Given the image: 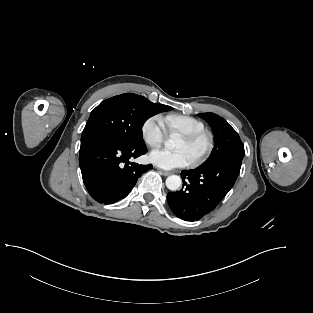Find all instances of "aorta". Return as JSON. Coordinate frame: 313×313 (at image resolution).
I'll return each mask as SVG.
<instances>
[{
  "label": "aorta",
  "instance_id": "obj_1",
  "mask_svg": "<svg viewBox=\"0 0 313 313\" xmlns=\"http://www.w3.org/2000/svg\"><path fill=\"white\" fill-rule=\"evenodd\" d=\"M176 142H177V138L174 135H172L165 143V146L169 149L174 148ZM181 184H182V180L180 176L178 175H171L167 177L166 179V186L171 191L179 190L181 187Z\"/></svg>",
  "mask_w": 313,
  "mask_h": 313
}]
</instances>
